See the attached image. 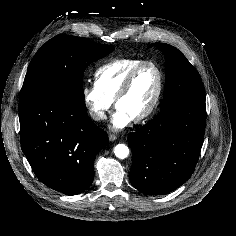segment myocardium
Wrapping results in <instances>:
<instances>
[{
	"mask_svg": "<svg viewBox=\"0 0 236 236\" xmlns=\"http://www.w3.org/2000/svg\"><path fill=\"white\" fill-rule=\"evenodd\" d=\"M152 66L158 74V87L155 93V96L153 98V101L151 103V105L148 107L147 110H145L143 113H141L140 115H138L137 117L133 118V120L135 122H142L145 121L146 119L150 118L155 111L157 110L160 101L162 99L163 96V91H164V72L162 70V68L159 66V64H157L155 61L153 60H145L143 62H141L140 64H138L136 67H134L129 74L127 75V77L125 78V80L123 81L117 95L115 96L114 99V104L115 106H117L118 102L128 93V91L130 90L133 81L135 79V77L137 76V74L142 70V68H144L145 66Z\"/></svg>",
	"mask_w": 236,
	"mask_h": 236,
	"instance_id": "obj_1",
	"label": "myocardium"
}]
</instances>
